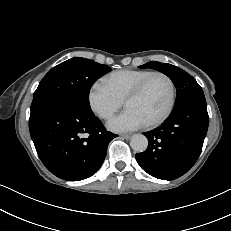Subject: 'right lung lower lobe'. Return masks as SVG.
Instances as JSON below:
<instances>
[{"label":"right lung lower lobe","mask_w":231,"mask_h":231,"mask_svg":"<svg viewBox=\"0 0 231 231\" xmlns=\"http://www.w3.org/2000/svg\"><path fill=\"white\" fill-rule=\"evenodd\" d=\"M29 129L43 164L67 181L95 174L109 142L117 137L106 130L91 108L71 99L57 100L30 116Z\"/></svg>","instance_id":"right-lung-lower-lobe-1"}]
</instances>
